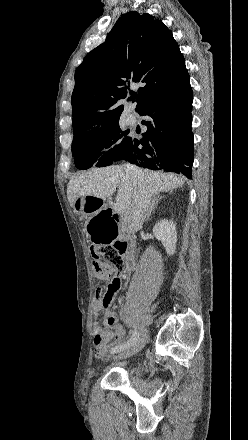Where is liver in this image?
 <instances>
[{
	"label": "liver",
	"instance_id": "6515ba94",
	"mask_svg": "<svg viewBox=\"0 0 248 440\" xmlns=\"http://www.w3.org/2000/svg\"><path fill=\"white\" fill-rule=\"evenodd\" d=\"M147 190L152 195L168 192L184 185V180L174 174L140 169ZM118 188L116 200L124 210L130 206L137 190V182L122 166L93 168L72 178L67 185V197L71 207L78 197L92 196L99 199L110 197Z\"/></svg>",
	"mask_w": 248,
	"mask_h": 440
}]
</instances>
